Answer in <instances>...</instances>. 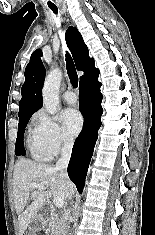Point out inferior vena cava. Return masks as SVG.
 Instances as JSON below:
<instances>
[{"label":"inferior vena cava","instance_id":"1","mask_svg":"<svg viewBox=\"0 0 155 235\" xmlns=\"http://www.w3.org/2000/svg\"><path fill=\"white\" fill-rule=\"evenodd\" d=\"M73 146V139H66L64 145L61 149V158L56 162V169L63 171L66 175V169L70 160L71 152ZM72 197V194H69V198Z\"/></svg>","mask_w":155,"mask_h":235}]
</instances>
